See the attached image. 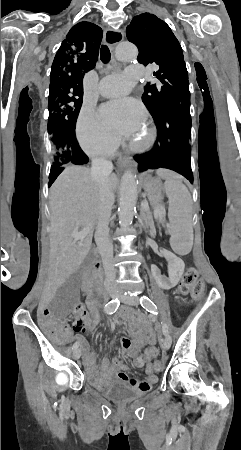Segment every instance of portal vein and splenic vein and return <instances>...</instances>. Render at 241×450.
I'll return each instance as SVG.
<instances>
[{"mask_svg": "<svg viewBox=\"0 0 241 450\" xmlns=\"http://www.w3.org/2000/svg\"><path fill=\"white\" fill-rule=\"evenodd\" d=\"M148 202H143V204H141V211L142 213H147L148 212ZM155 212L156 213H164V204H156L155 205ZM90 230L89 228H84V230H82V232H73V234H71L72 238H76V240H81V238H86V236H88Z\"/></svg>", "mask_w": 241, "mask_h": 450, "instance_id": "portal-vein-and-splenic-vein-1", "label": "portal vein and splenic vein"}]
</instances>
